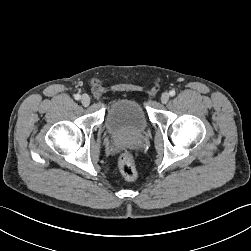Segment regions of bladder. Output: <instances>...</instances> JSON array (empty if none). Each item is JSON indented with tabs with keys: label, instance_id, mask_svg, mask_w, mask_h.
Returning a JSON list of instances; mask_svg holds the SVG:
<instances>
[{
	"label": "bladder",
	"instance_id": "1",
	"mask_svg": "<svg viewBox=\"0 0 251 251\" xmlns=\"http://www.w3.org/2000/svg\"><path fill=\"white\" fill-rule=\"evenodd\" d=\"M105 127L114 135H139L148 127V118L142 104L134 98H118L107 107Z\"/></svg>",
	"mask_w": 251,
	"mask_h": 251
}]
</instances>
